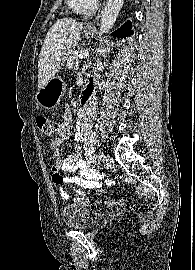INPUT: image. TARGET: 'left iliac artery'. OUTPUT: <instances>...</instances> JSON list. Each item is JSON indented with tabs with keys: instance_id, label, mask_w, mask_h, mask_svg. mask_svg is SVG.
Listing matches in <instances>:
<instances>
[{
	"instance_id": "left-iliac-artery-1",
	"label": "left iliac artery",
	"mask_w": 195,
	"mask_h": 270,
	"mask_svg": "<svg viewBox=\"0 0 195 270\" xmlns=\"http://www.w3.org/2000/svg\"><path fill=\"white\" fill-rule=\"evenodd\" d=\"M99 156H100V158H102L104 156L102 151H99Z\"/></svg>"
}]
</instances>
